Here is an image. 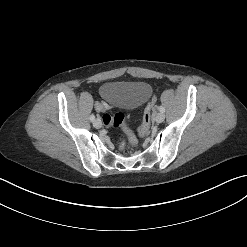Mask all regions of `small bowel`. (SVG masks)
<instances>
[{
  "instance_id": "obj_1",
  "label": "small bowel",
  "mask_w": 247,
  "mask_h": 247,
  "mask_svg": "<svg viewBox=\"0 0 247 247\" xmlns=\"http://www.w3.org/2000/svg\"><path fill=\"white\" fill-rule=\"evenodd\" d=\"M96 109L98 111H104L106 109L105 105H103L102 103H97L96 104Z\"/></svg>"
}]
</instances>
